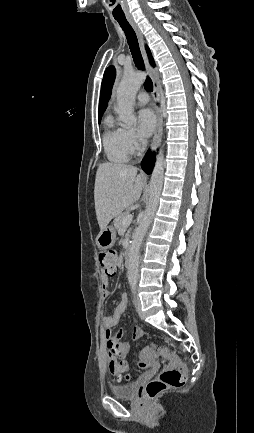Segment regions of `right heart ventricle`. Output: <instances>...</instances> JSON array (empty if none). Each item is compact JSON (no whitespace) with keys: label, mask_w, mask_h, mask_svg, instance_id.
<instances>
[{"label":"right heart ventricle","mask_w":254,"mask_h":433,"mask_svg":"<svg viewBox=\"0 0 254 433\" xmlns=\"http://www.w3.org/2000/svg\"><path fill=\"white\" fill-rule=\"evenodd\" d=\"M103 147L107 159L112 163H125L131 156L127 146L124 129L118 126L111 116L105 119Z\"/></svg>","instance_id":"right-heart-ventricle-1"}]
</instances>
